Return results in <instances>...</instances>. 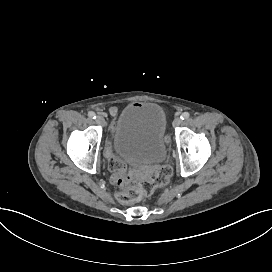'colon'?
Segmentation results:
<instances>
[{
	"instance_id": "colon-1",
	"label": "colon",
	"mask_w": 272,
	"mask_h": 272,
	"mask_svg": "<svg viewBox=\"0 0 272 272\" xmlns=\"http://www.w3.org/2000/svg\"><path fill=\"white\" fill-rule=\"evenodd\" d=\"M113 180L120 187L115 194L117 203L126 205L140 196H149L156 186L166 184L172 174V169L163 166L151 175L142 176L136 173H128V169L122 159L110 162Z\"/></svg>"
}]
</instances>
